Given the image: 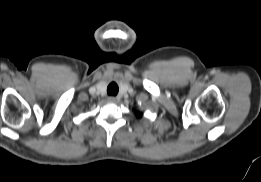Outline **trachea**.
<instances>
[{
	"mask_svg": "<svg viewBox=\"0 0 261 182\" xmlns=\"http://www.w3.org/2000/svg\"><path fill=\"white\" fill-rule=\"evenodd\" d=\"M118 85L115 82H111L107 87L108 95L115 96L118 93Z\"/></svg>",
	"mask_w": 261,
	"mask_h": 182,
	"instance_id": "trachea-1",
	"label": "trachea"
}]
</instances>
